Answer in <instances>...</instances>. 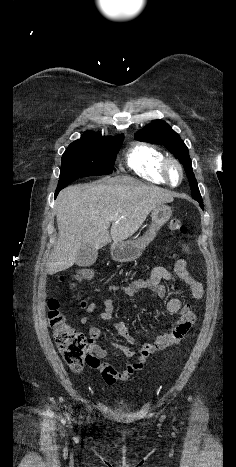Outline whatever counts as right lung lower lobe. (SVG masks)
<instances>
[{
	"label": "right lung lower lobe",
	"instance_id": "1",
	"mask_svg": "<svg viewBox=\"0 0 236 467\" xmlns=\"http://www.w3.org/2000/svg\"><path fill=\"white\" fill-rule=\"evenodd\" d=\"M61 189H63V188H61V187H57V189H56V193H55V197L57 196V194L59 193V191H60Z\"/></svg>",
	"mask_w": 236,
	"mask_h": 467
}]
</instances>
